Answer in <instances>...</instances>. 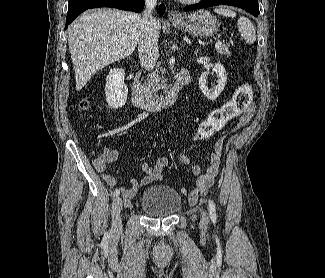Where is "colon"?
<instances>
[{"mask_svg":"<svg viewBox=\"0 0 325 278\" xmlns=\"http://www.w3.org/2000/svg\"><path fill=\"white\" fill-rule=\"evenodd\" d=\"M253 90L249 84L240 85L232 98L212 111L198 126L194 138L206 139L213 136L223 128L230 120L249 108L252 104ZM82 109H88L89 102H81Z\"/></svg>","mask_w":325,"mask_h":278,"instance_id":"5ec220e1","label":"colon"}]
</instances>
